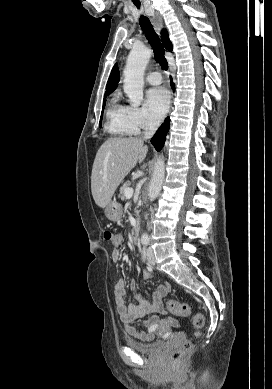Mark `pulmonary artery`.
<instances>
[{
  "mask_svg": "<svg viewBox=\"0 0 272 389\" xmlns=\"http://www.w3.org/2000/svg\"><path fill=\"white\" fill-rule=\"evenodd\" d=\"M146 80L148 83H150L152 85H158L162 82V77H161V74L159 72H150L146 76Z\"/></svg>",
  "mask_w": 272,
  "mask_h": 389,
  "instance_id": "e3ab8cb5",
  "label": "pulmonary artery"
}]
</instances>
